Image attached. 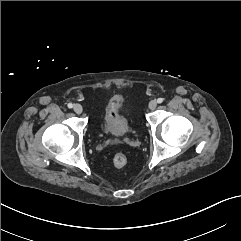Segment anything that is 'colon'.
<instances>
[{"instance_id":"5ec220e1","label":"colon","mask_w":241,"mask_h":241,"mask_svg":"<svg viewBox=\"0 0 241 241\" xmlns=\"http://www.w3.org/2000/svg\"><path fill=\"white\" fill-rule=\"evenodd\" d=\"M113 163L118 168L124 167L127 164V157L122 153H118L114 156Z\"/></svg>"}]
</instances>
